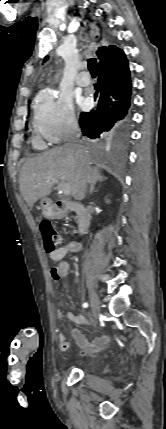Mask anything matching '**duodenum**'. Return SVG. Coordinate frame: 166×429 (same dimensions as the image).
Segmentation results:
<instances>
[{"label":"duodenum","mask_w":166,"mask_h":429,"mask_svg":"<svg viewBox=\"0 0 166 429\" xmlns=\"http://www.w3.org/2000/svg\"><path fill=\"white\" fill-rule=\"evenodd\" d=\"M53 208L57 216H64L69 212H75L77 215L78 233H87L91 223V215L84 205L66 200H57Z\"/></svg>","instance_id":"obj_1"}]
</instances>
